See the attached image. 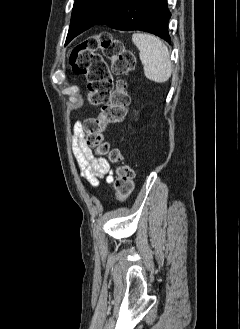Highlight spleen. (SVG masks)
Returning <instances> with one entry per match:
<instances>
[{
  "label": "spleen",
  "mask_w": 240,
  "mask_h": 329,
  "mask_svg": "<svg viewBox=\"0 0 240 329\" xmlns=\"http://www.w3.org/2000/svg\"><path fill=\"white\" fill-rule=\"evenodd\" d=\"M132 41L139 49V57L147 79L156 83L168 81L172 63L166 45L158 38L146 33H134Z\"/></svg>",
  "instance_id": "1"
}]
</instances>
